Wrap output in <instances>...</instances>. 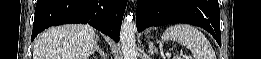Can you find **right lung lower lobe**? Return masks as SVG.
I'll return each instance as SVG.
<instances>
[{
  "mask_svg": "<svg viewBox=\"0 0 261 59\" xmlns=\"http://www.w3.org/2000/svg\"><path fill=\"white\" fill-rule=\"evenodd\" d=\"M126 5L127 0H38L32 40L51 26L88 23L118 42Z\"/></svg>",
  "mask_w": 261,
  "mask_h": 59,
  "instance_id": "98d812e1",
  "label": "right lung lower lobe"
}]
</instances>
